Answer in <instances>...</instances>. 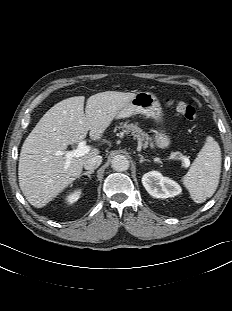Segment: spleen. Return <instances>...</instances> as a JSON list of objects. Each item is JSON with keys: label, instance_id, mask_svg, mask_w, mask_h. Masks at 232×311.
<instances>
[{"label": "spleen", "instance_id": "spleen-1", "mask_svg": "<svg viewBox=\"0 0 232 311\" xmlns=\"http://www.w3.org/2000/svg\"><path fill=\"white\" fill-rule=\"evenodd\" d=\"M220 172L221 150L213 137L208 136L189 171L182 179L194 202L203 203L215 193Z\"/></svg>", "mask_w": 232, "mask_h": 311}]
</instances>
